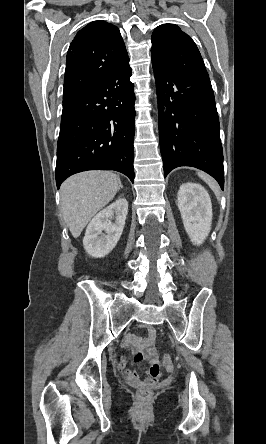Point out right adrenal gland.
I'll return each instance as SVG.
<instances>
[{"label":"right adrenal gland","instance_id":"obj_1","mask_svg":"<svg viewBox=\"0 0 266 444\" xmlns=\"http://www.w3.org/2000/svg\"><path fill=\"white\" fill-rule=\"evenodd\" d=\"M120 183V188H123V185L121 184V182H119Z\"/></svg>","mask_w":266,"mask_h":444}]
</instances>
